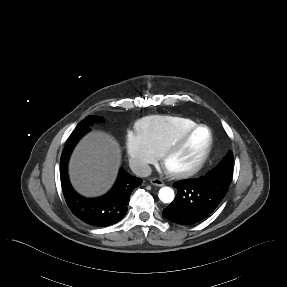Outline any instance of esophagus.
Returning a JSON list of instances; mask_svg holds the SVG:
<instances>
[{
    "label": "esophagus",
    "instance_id": "esophagus-1",
    "mask_svg": "<svg viewBox=\"0 0 287 287\" xmlns=\"http://www.w3.org/2000/svg\"><path fill=\"white\" fill-rule=\"evenodd\" d=\"M150 183L154 186L162 187L164 186V182L158 178H152L150 179Z\"/></svg>",
    "mask_w": 287,
    "mask_h": 287
}]
</instances>
